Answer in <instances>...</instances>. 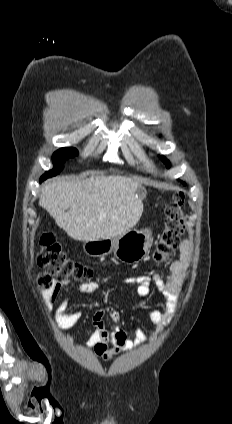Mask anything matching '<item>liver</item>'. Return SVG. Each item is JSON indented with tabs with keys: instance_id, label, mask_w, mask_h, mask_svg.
Segmentation results:
<instances>
[{
	"instance_id": "liver-1",
	"label": "liver",
	"mask_w": 232,
	"mask_h": 424,
	"mask_svg": "<svg viewBox=\"0 0 232 424\" xmlns=\"http://www.w3.org/2000/svg\"><path fill=\"white\" fill-rule=\"evenodd\" d=\"M140 189L138 181L120 175L58 177L42 187L39 205L75 240L114 238L138 223L144 197Z\"/></svg>"
}]
</instances>
